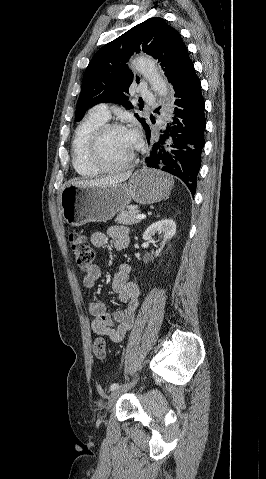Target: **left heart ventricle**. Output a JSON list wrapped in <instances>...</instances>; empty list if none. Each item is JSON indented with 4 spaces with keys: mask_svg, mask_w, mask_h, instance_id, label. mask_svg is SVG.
Returning <instances> with one entry per match:
<instances>
[{
    "mask_svg": "<svg viewBox=\"0 0 266 479\" xmlns=\"http://www.w3.org/2000/svg\"><path fill=\"white\" fill-rule=\"evenodd\" d=\"M136 142L127 130H113L105 135L100 146L102 160L109 165L125 162Z\"/></svg>",
    "mask_w": 266,
    "mask_h": 479,
    "instance_id": "1",
    "label": "left heart ventricle"
}]
</instances>
